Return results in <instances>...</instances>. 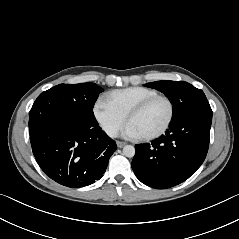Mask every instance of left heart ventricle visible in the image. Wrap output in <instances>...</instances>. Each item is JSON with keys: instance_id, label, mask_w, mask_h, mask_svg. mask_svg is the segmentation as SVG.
I'll return each instance as SVG.
<instances>
[{"instance_id": "b2bd125f", "label": "left heart ventricle", "mask_w": 239, "mask_h": 239, "mask_svg": "<svg viewBox=\"0 0 239 239\" xmlns=\"http://www.w3.org/2000/svg\"><path fill=\"white\" fill-rule=\"evenodd\" d=\"M169 117V105L163 100L159 99L153 102L140 114L132 117L129 121L140 136H146L157 132L166 123Z\"/></svg>"}]
</instances>
